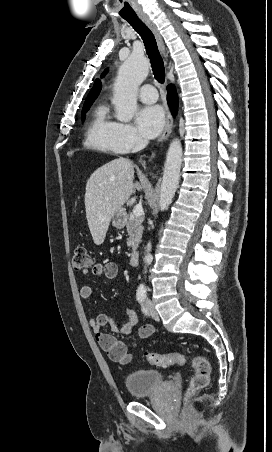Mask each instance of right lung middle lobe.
Masks as SVG:
<instances>
[{"label": "right lung middle lobe", "instance_id": "right-lung-middle-lobe-1", "mask_svg": "<svg viewBox=\"0 0 272 452\" xmlns=\"http://www.w3.org/2000/svg\"><path fill=\"white\" fill-rule=\"evenodd\" d=\"M92 103L90 104H84L83 109H82V119H84V115L85 112L89 109V107L91 106Z\"/></svg>", "mask_w": 272, "mask_h": 452}]
</instances>
